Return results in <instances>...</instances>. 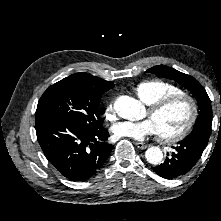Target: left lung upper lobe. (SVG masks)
I'll return each instance as SVG.
<instances>
[{"mask_svg": "<svg viewBox=\"0 0 221 221\" xmlns=\"http://www.w3.org/2000/svg\"><path fill=\"white\" fill-rule=\"evenodd\" d=\"M146 72L156 74L163 78L171 79L186 89H188L196 98L199 106V116L193 127L192 133L200 131H210L212 125V106L210 98L203 86L192 76L179 72L165 65H158L148 69ZM191 133V134H192Z\"/></svg>", "mask_w": 221, "mask_h": 221, "instance_id": "left-lung-upper-lobe-1", "label": "left lung upper lobe"}]
</instances>
